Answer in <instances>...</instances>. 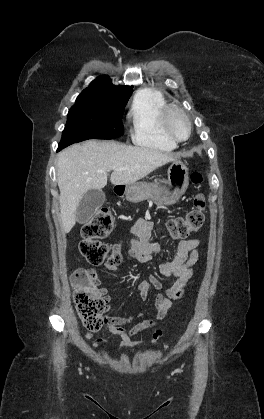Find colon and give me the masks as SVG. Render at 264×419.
<instances>
[{"instance_id": "5ec220e1", "label": "colon", "mask_w": 264, "mask_h": 419, "mask_svg": "<svg viewBox=\"0 0 264 419\" xmlns=\"http://www.w3.org/2000/svg\"><path fill=\"white\" fill-rule=\"evenodd\" d=\"M191 180L199 185L202 182V176L198 172H193ZM204 207L203 196L197 194L191 211L167 222L170 235L175 239H181L198 231L204 222ZM114 226L115 222L110 212L101 210L82 227L79 250L89 263L93 265L106 263L107 266L113 268L121 263V246L119 244L108 246L100 241L112 232ZM138 251L137 245L132 243V253L136 256ZM71 285L74 290L76 308L84 326L90 331L101 329L105 322L103 313L107 301L100 294L95 281L86 271H77L71 277Z\"/></svg>"}]
</instances>
